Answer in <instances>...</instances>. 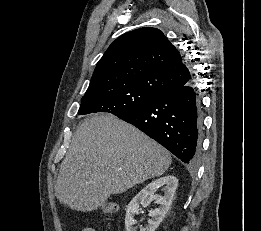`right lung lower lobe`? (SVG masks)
Returning a JSON list of instances; mask_svg holds the SVG:
<instances>
[{
	"mask_svg": "<svg viewBox=\"0 0 261 231\" xmlns=\"http://www.w3.org/2000/svg\"><path fill=\"white\" fill-rule=\"evenodd\" d=\"M120 119L136 126L181 161L195 164L201 148V99L193 82L158 96Z\"/></svg>",
	"mask_w": 261,
	"mask_h": 231,
	"instance_id": "98d812e1",
	"label": "right lung lower lobe"
}]
</instances>
